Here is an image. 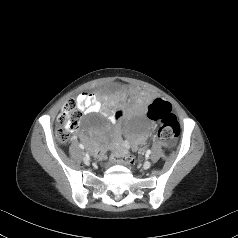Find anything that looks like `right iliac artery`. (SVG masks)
I'll return each mask as SVG.
<instances>
[{"mask_svg":"<svg viewBox=\"0 0 238 238\" xmlns=\"http://www.w3.org/2000/svg\"><path fill=\"white\" fill-rule=\"evenodd\" d=\"M79 147H80L81 149H84V145H83V144H79Z\"/></svg>","mask_w":238,"mask_h":238,"instance_id":"82829eb1","label":"right iliac artery"}]
</instances>
